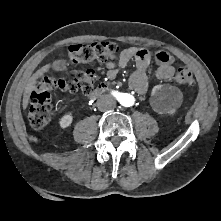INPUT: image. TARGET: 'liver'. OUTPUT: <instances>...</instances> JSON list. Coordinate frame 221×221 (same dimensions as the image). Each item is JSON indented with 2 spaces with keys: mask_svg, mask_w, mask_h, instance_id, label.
Instances as JSON below:
<instances>
[{
  "mask_svg": "<svg viewBox=\"0 0 221 221\" xmlns=\"http://www.w3.org/2000/svg\"><path fill=\"white\" fill-rule=\"evenodd\" d=\"M49 68L50 65L46 64L45 66L37 70L29 79L24 91L23 102H22L23 109H26L28 106L30 94L36 88L37 79L42 77L44 73L48 72Z\"/></svg>",
  "mask_w": 221,
  "mask_h": 221,
  "instance_id": "6515ba94",
  "label": "liver"
}]
</instances>
